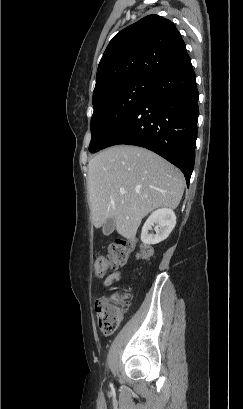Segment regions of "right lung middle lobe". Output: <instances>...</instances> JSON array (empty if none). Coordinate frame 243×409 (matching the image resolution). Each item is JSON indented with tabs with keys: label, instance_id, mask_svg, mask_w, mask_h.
Listing matches in <instances>:
<instances>
[{
	"label": "right lung middle lobe",
	"instance_id": "obj_1",
	"mask_svg": "<svg viewBox=\"0 0 243 409\" xmlns=\"http://www.w3.org/2000/svg\"><path fill=\"white\" fill-rule=\"evenodd\" d=\"M156 81L133 79L117 85L93 102L89 151L98 152L140 105Z\"/></svg>",
	"mask_w": 243,
	"mask_h": 409
}]
</instances>
